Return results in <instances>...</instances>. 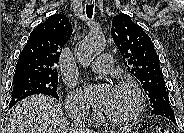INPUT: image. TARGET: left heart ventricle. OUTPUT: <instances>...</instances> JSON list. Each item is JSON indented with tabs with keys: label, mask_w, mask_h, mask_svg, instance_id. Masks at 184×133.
<instances>
[{
	"label": "left heart ventricle",
	"mask_w": 184,
	"mask_h": 133,
	"mask_svg": "<svg viewBox=\"0 0 184 133\" xmlns=\"http://www.w3.org/2000/svg\"><path fill=\"white\" fill-rule=\"evenodd\" d=\"M135 107L136 99L130 90L114 88L112 97L103 113L112 118H124L130 115Z\"/></svg>",
	"instance_id": "obj_1"
}]
</instances>
